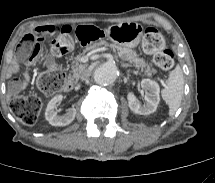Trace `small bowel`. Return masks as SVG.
Returning a JSON list of instances; mask_svg holds the SVG:
<instances>
[{
  "label": "small bowel",
  "instance_id": "obj_1",
  "mask_svg": "<svg viewBox=\"0 0 215 183\" xmlns=\"http://www.w3.org/2000/svg\"><path fill=\"white\" fill-rule=\"evenodd\" d=\"M62 29H70V27L68 25H56V24L42 25V26L36 27L35 29H33L32 31L28 32L25 35L20 45V53H25L26 48L32 45L35 40L39 39L41 41L50 35H55L57 32H59ZM47 64L52 68L56 66V63L50 59L47 60ZM18 69H19V65L17 63H13L8 69V75L16 73ZM28 80L29 79L27 77H24L23 79L14 80L11 83V87H10L11 93L15 94L23 90L27 86Z\"/></svg>",
  "mask_w": 215,
  "mask_h": 183
}]
</instances>
